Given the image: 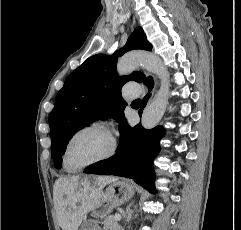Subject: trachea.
<instances>
[{
    "instance_id": "obj_1",
    "label": "trachea",
    "mask_w": 241,
    "mask_h": 230,
    "mask_svg": "<svg viewBox=\"0 0 241 230\" xmlns=\"http://www.w3.org/2000/svg\"><path fill=\"white\" fill-rule=\"evenodd\" d=\"M133 103H135V104H141V100L137 99V100L133 101Z\"/></svg>"
}]
</instances>
